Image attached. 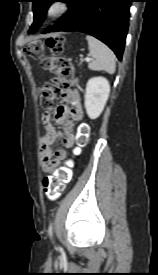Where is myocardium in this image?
<instances>
[{"label":"myocardium","mask_w":158,"mask_h":275,"mask_svg":"<svg viewBox=\"0 0 158 275\" xmlns=\"http://www.w3.org/2000/svg\"><path fill=\"white\" fill-rule=\"evenodd\" d=\"M69 5L66 1L57 0L49 3L45 9V15L48 19H58L67 13Z\"/></svg>","instance_id":"myocardium-1"}]
</instances>
